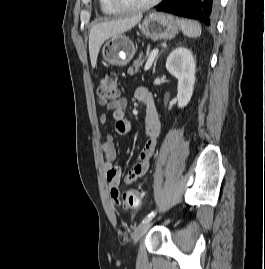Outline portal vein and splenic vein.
I'll list each match as a JSON object with an SVG mask.
<instances>
[{"label": "portal vein and splenic vein", "mask_w": 265, "mask_h": 269, "mask_svg": "<svg viewBox=\"0 0 265 269\" xmlns=\"http://www.w3.org/2000/svg\"><path fill=\"white\" fill-rule=\"evenodd\" d=\"M158 51H159V50L156 48V49H154V50L150 53V55H149V57H148V60H147V62H146V64H145V67H144V70H145V71H147V70L150 69V67H151V65H152V63H153V61H154L155 56L158 54Z\"/></svg>", "instance_id": "obj_1"}]
</instances>
